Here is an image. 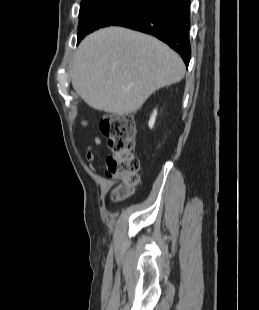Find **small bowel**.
<instances>
[{
  "label": "small bowel",
  "mask_w": 259,
  "mask_h": 310,
  "mask_svg": "<svg viewBox=\"0 0 259 310\" xmlns=\"http://www.w3.org/2000/svg\"><path fill=\"white\" fill-rule=\"evenodd\" d=\"M94 144L96 146H100L103 144V140L100 137H96L94 139ZM95 159H96L95 149L93 146H89L86 150V160L91 169H93V164L95 162Z\"/></svg>",
  "instance_id": "c3829d8e"
}]
</instances>
